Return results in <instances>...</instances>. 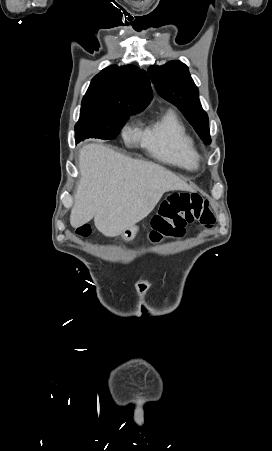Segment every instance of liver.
I'll use <instances>...</instances> for the list:
<instances>
[{"label":"liver","instance_id":"6515ba94","mask_svg":"<svg viewBox=\"0 0 272 451\" xmlns=\"http://www.w3.org/2000/svg\"><path fill=\"white\" fill-rule=\"evenodd\" d=\"M78 168L70 224L79 227L94 218L104 235H120L146 218L165 192L192 190L163 166L128 158L102 144L84 146Z\"/></svg>","mask_w":272,"mask_h":451}]
</instances>
